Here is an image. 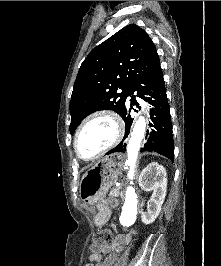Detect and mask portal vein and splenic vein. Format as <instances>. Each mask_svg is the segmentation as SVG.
Returning <instances> with one entry per match:
<instances>
[{
	"mask_svg": "<svg viewBox=\"0 0 221 266\" xmlns=\"http://www.w3.org/2000/svg\"><path fill=\"white\" fill-rule=\"evenodd\" d=\"M119 186H120V184H117V185H116V187H119Z\"/></svg>",
	"mask_w": 221,
	"mask_h": 266,
	"instance_id": "1",
	"label": "portal vein and splenic vein"
}]
</instances>
